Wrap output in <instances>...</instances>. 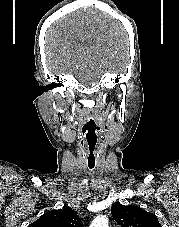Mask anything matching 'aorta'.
<instances>
[{"label":"aorta","mask_w":179,"mask_h":227,"mask_svg":"<svg viewBox=\"0 0 179 227\" xmlns=\"http://www.w3.org/2000/svg\"><path fill=\"white\" fill-rule=\"evenodd\" d=\"M108 218L104 215H98L91 223L90 227H108Z\"/></svg>","instance_id":"762f6f07"}]
</instances>
